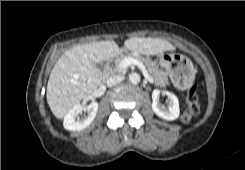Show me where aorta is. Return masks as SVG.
Returning <instances> with one entry per match:
<instances>
[{"mask_svg": "<svg viewBox=\"0 0 245 170\" xmlns=\"http://www.w3.org/2000/svg\"><path fill=\"white\" fill-rule=\"evenodd\" d=\"M141 78L138 73H130L129 74V81L133 84H138L140 82Z\"/></svg>", "mask_w": 245, "mask_h": 170, "instance_id": "obj_1", "label": "aorta"}]
</instances>
